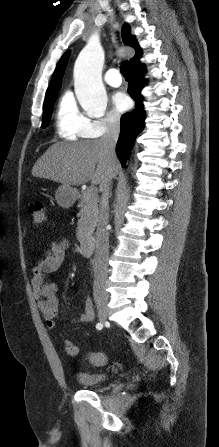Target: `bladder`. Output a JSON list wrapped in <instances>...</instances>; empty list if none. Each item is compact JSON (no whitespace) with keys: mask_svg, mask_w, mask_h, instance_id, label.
<instances>
[{"mask_svg":"<svg viewBox=\"0 0 219 447\" xmlns=\"http://www.w3.org/2000/svg\"><path fill=\"white\" fill-rule=\"evenodd\" d=\"M74 377L83 388H93L106 382L109 375L106 373L77 371Z\"/></svg>","mask_w":219,"mask_h":447,"instance_id":"bladder-1","label":"bladder"}]
</instances>
